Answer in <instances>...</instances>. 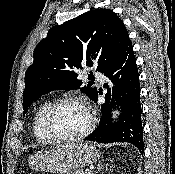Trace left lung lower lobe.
Instances as JSON below:
<instances>
[{
	"label": "left lung lower lobe",
	"mask_w": 175,
	"mask_h": 174,
	"mask_svg": "<svg viewBox=\"0 0 175 174\" xmlns=\"http://www.w3.org/2000/svg\"><path fill=\"white\" fill-rule=\"evenodd\" d=\"M104 75L115 84L113 88L115 90L112 94L110 89L106 93V101L101 105L100 124L85 140L99 143L128 142L143 153L139 74L132 43L124 49L117 61L104 72ZM97 99L98 92L92 100L97 102ZM114 99L118 106H121V115L118 123L112 124L110 112Z\"/></svg>",
	"instance_id": "0a47b994"
}]
</instances>
